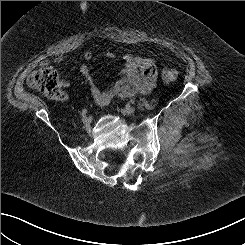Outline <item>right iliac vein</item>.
<instances>
[{
	"instance_id": "1",
	"label": "right iliac vein",
	"mask_w": 245,
	"mask_h": 245,
	"mask_svg": "<svg viewBox=\"0 0 245 245\" xmlns=\"http://www.w3.org/2000/svg\"><path fill=\"white\" fill-rule=\"evenodd\" d=\"M82 122H83L84 126H86V127L90 124V120L87 116H84L82 118Z\"/></svg>"
}]
</instances>
